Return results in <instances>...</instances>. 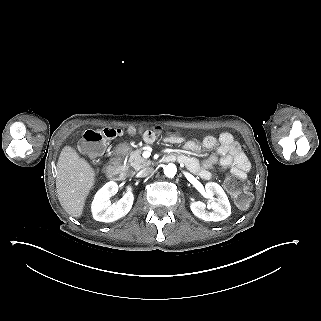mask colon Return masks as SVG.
Instances as JSON below:
<instances>
[{
    "label": "colon",
    "instance_id": "colon-1",
    "mask_svg": "<svg viewBox=\"0 0 321 321\" xmlns=\"http://www.w3.org/2000/svg\"><path fill=\"white\" fill-rule=\"evenodd\" d=\"M121 134V130L117 128L105 127L97 130H87L80 141L79 148L85 154L90 156H98L104 149L106 142ZM224 185L231 193L236 205L239 208H246L250 203L249 185L246 175H229Z\"/></svg>",
    "mask_w": 321,
    "mask_h": 321
}]
</instances>
